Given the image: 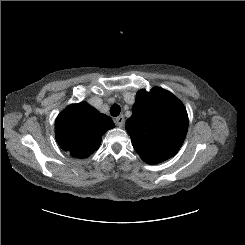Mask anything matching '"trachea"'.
<instances>
[{"label": "trachea", "instance_id": "3493384b", "mask_svg": "<svg viewBox=\"0 0 245 245\" xmlns=\"http://www.w3.org/2000/svg\"><path fill=\"white\" fill-rule=\"evenodd\" d=\"M121 112V108L118 104H113L110 108V113L113 117H117Z\"/></svg>", "mask_w": 245, "mask_h": 245}]
</instances>
